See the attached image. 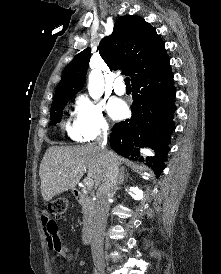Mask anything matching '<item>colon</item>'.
Here are the masks:
<instances>
[{"mask_svg":"<svg viewBox=\"0 0 221 274\" xmlns=\"http://www.w3.org/2000/svg\"><path fill=\"white\" fill-rule=\"evenodd\" d=\"M49 212L56 218L62 217L67 210V201L64 198H57L49 204ZM72 254L67 252L64 255L65 260H70Z\"/></svg>","mask_w":221,"mask_h":274,"instance_id":"1","label":"colon"}]
</instances>
